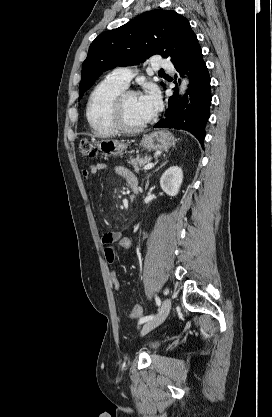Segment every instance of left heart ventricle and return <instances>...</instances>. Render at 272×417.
<instances>
[{"instance_id":"left-heart-ventricle-1","label":"left heart ventricle","mask_w":272,"mask_h":417,"mask_svg":"<svg viewBox=\"0 0 272 417\" xmlns=\"http://www.w3.org/2000/svg\"><path fill=\"white\" fill-rule=\"evenodd\" d=\"M124 120L129 125H139L150 119L151 117L140 105L139 97L135 94L129 95L123 108Z\"/></svg>"}]
</instances>
